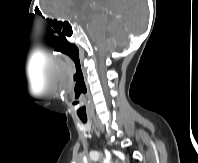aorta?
I'll return each instance as SVG.
<instances>
[{
	"mask_svg": "<svg viewBox=\"0 0 198 163\" xmlns=\"http://www.w3.org/2000/svg\"><path fill=\"white\" fill-rule=\"evenodd\" d=\"M103 163H108V161L107 160H104Z\"/></svg>",
	"mask_w": 198,
	"mask_h": 163,
	"instance_id": "obj_1",
	"label": "aorta"
}]
</instances>
